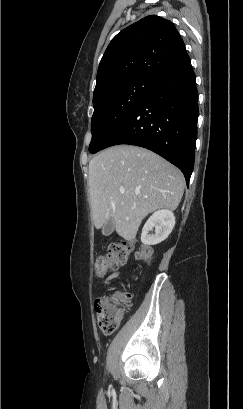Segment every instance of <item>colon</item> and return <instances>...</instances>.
Wrapping results in <instances>:
<instances>
[{"label": "colon", "instance_id": "1", "mask_svg": "<svg viewBox=\"0 0 243 409\" xmlns=\"http://www.w3.org/2000/svg\"><path fill=\"white\" fill-rule=\"evenodd\" d=\"M131 252V245L117 241L108 247L105 255L99 256L95 261V273L97 277H104L110 271L116 270L127 262ZM140 260L150 262L153 256L152 248L143 245L136 253ZM132 294L123 292L115 297H100L96 300V312L99 325L104 333H113L122 322L126 310L130 307Z\"/></svg>", "mask_w": 243, "mask_h": 409}]
</instances>
